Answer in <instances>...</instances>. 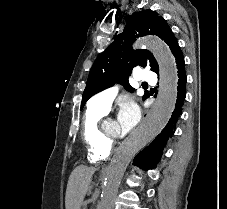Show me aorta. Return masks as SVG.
<instances>
[{"label":"aorta","instance_id":"762f6f07","mask_svg":"<svg viewBox=\"0 0 227 209\" xmlns=\"http://www.w3.org/2000/svg\"><path fill=\"white\" fill-rule=\"evenodd\" d=\"M147 48L159 65V91L152 111L137 136L121 146L108 166L101 201L97 209H113L123 174L135 154L151 142L165 127L177 99L178 73L169 47L158 37L138 39L134 48Z\"/></svg>","mask_w":227,"mask_h":209}]
</instances>
